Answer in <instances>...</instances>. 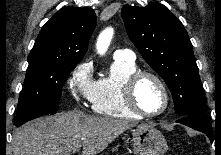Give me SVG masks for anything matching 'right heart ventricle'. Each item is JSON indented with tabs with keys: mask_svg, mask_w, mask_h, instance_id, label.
<instances>
[{
	"mask_svg": "<svg viewBox=\"0 0 221 155\" xmlns=\"http://www.w3.org/2000/svg\"><path fill=\"white\" fill-rule=\"evenodd\" d=\"M136 71L138 69L134 61L114 59L109 72L94 82L91 100L93 111L112 118H138L129 110L123 96L127 78Z\"/></svg>",
	"mask_w": 221,
	"mask_h": 155,
	"instance_id": "obj_1",
	"label": "right heart ventricle"
}]
</instances>
